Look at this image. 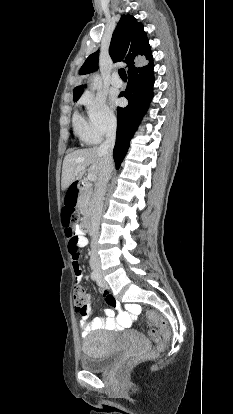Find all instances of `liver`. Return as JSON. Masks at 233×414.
<instances>
[{"instance_id":"liver-1","label":"liver","mask_w":233,"mask_h":414,"mask_svg":"<svg viewBox=\"0 0 233 414\" xmlns=\"http://www.w3.org/2000/svg\"><path fill=\"white\" fill-rule=\"evenodd\" d=\"M80 160V162H77ZM104 166V155L99 148L79 149L65 156L62 167L61 187L66 190L76 180L82 177L85 168L88 173L99 177ZM84 167V169H82Z\"/></svg>"}]
</instances>
